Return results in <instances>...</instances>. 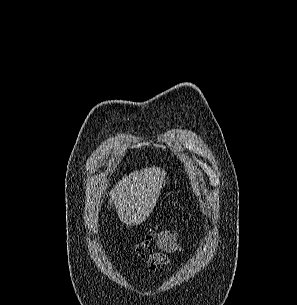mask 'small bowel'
Instances as JSON below:
<instances>
[{
  "mask_svg": "<svg viewBox=\"0 0 297 305\" xmlns=\"http://www.w3.org/2000/svg\"><path fill=\"white\" fill-rule=\"evenodd\" d=\"M156 246L158 251L147 259V266L152 272H157L169 263V253L181 250L178 232L174 229L160 232L156 239Z\"/></svg>",
  "mask_w": 297,
  "mask_h": 305,
  "instance_id": "c3829d8e",
  "label": "small bowel"
}]
</instances>
